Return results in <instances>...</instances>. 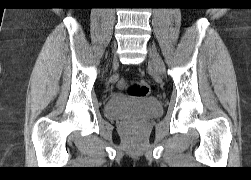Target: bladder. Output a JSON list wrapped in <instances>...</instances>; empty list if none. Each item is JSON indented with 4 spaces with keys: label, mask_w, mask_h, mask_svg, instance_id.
Wrapping results in <instances>:
<instances>
[{
    "label": "bladder",
    "mask_w": 251,
    "mask_h": 180,
    "mask_svg": "<svg viewBox=\"0 0 251 180\" xmlns=\"http://www.w3.org/2000/svg\"><path fill=\"white\" fill-rule=\"evenodd\" d=\"M161 111V102L155 97L131 98L124 94L112 95L104 107L105 116L110 119H147Z\"/></svg>",
    "instance_id": "1"
}]
</instances>
